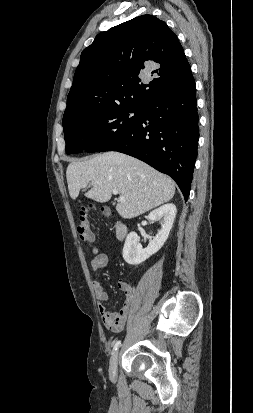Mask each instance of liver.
<instances>
[{"mask_svg":"<svg viewBox=\"0 0 253 413\" xmlns=\"http://www.w3.org/2000/svg\"><path fill=\"white\" fill-rule=\"evenodd\" d=\"M66 177L73 200L88 185L92 188L85 196L101 203L109 201L113 190H118L125 201L119 200L116 210L125 219L135 218L164 204L175 194L174 182L169 177L119 152H105L73 161L67 167Z\"/></svg>","mask_w":253,"mask_h":413,"instance_id":"6515ba94","label":"liver"}]
</instances>
